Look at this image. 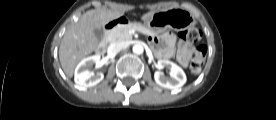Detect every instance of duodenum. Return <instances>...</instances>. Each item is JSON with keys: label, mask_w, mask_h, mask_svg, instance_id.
I'll list each match as a JSON object with an SVG mask.
<instances>
[{"label": "duodenum", "mask_w": 276, "mask_h": 120, "mask_svg": "<svg viewBox=\"0 0 276 120\" xmlns=\"http://www.w3.org/2000/svg\"><path fill=\"white\" fill-rule=\"evenodd\" d=\"M126 23H127V20L121 17L106 24L103 40L101 41V43L97 48L98 53L104 54L106 52L107 43L109 41L111 32L118 26L125 25Z\"/></svg>", "instance_id": "410a0bca"}]
</instances>
